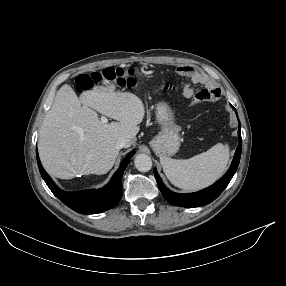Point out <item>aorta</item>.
<instances>
[{"instance_id": "1", "label": "aorta", "mask_w": 286, "mask_h": 286, "mask_svg": "<svg viewBox=\"0 0 286 286\" xmlns=\"http://www.w3.org/2000/svg\"><path fill=\"white\" fill-rule=\"evenodd\" d=\"M134 164L140 172H147L152 168V160L146 154H138L134 159Z\"/></svg>"}]
</instances>
